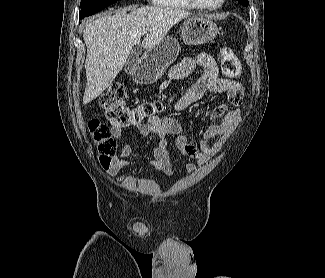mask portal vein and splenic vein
Here are the masks:
<instances>
[{
  "instance_id": "portal-vein-and-splenic-vein-1",
  "label": "portal vein and splenic vein",
  "mask_w": 325,
  "mask_h": 278,
  "mask_svg": "<svg viewBox=\"0 0 325 278\" xmlns=\"http://www.w3.org/2000/svg\"><path fill=\"white\" fill-rule=\"evenodd\" d=\"M148 29H143L142 34H146Z\"/></svg>"
}]
</instances>
